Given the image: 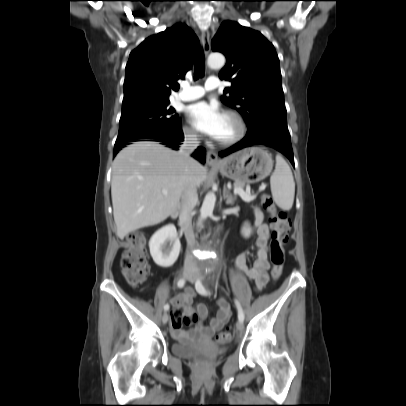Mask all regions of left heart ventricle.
<instances>
[{"label":"left heart ventricle","instance_id":"left-heart-ventricle-1","mask_svg":"<svg viewBox=\"0 0 406 406\" xmlns=\"http://www.w3.org/2000/svg\"><path fill=\"white\" fill-rule=\"evenodd\" d=\"M236 132H237V126H236L235 122L231 118H229L227 116H223L222 126L218 133L217 139H220V140L228 139V138L234 136Z\"/></svg>","mask_w":406,"mask_h":406}]
</instances>
